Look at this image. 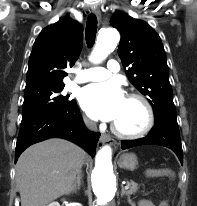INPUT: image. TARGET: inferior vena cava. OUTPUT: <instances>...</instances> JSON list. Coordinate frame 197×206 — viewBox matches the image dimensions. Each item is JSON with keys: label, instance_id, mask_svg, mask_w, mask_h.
<instances>
[{"label": "inferior vena cava", "instance_id": "obj_1", "mask_svg": "<svg viewBox=\"0 0 197 206\" xmlns=\"http://www.w3.org/2000/svg\"><path fill=\"white\" fill-rule=\"evenodd\" d=\"M85 125L88 129L95 131L97 129L96 123L90 120H85Z\"/></svg>", "mask_w": 197, "mask_h": 206}]
</instances>
